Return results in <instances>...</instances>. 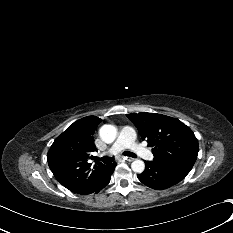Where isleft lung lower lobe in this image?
<instances>
[{
  "label": "left lung lower lobe",
  "instance_id": "1",
  "mask_svg": "<svg viewBox=\"0 0 233 233\" xmlns=\"http://www.w3.org/2000/svg\"><path fill=\"white\" fill-rule=\"evenodd\" d=\"M146 168L143 173L137 175L138 179L146 186L162 190L179 183L183 177L160 166L153 161H145Z\"/></svg>",
  "mask_w": 233,
  "mask_h": 233
}]
</instances>
